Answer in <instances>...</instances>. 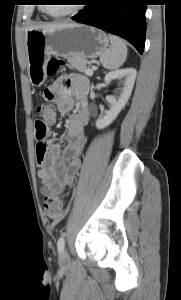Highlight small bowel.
I'll return each instance as SVG.
<instances>
[{"instance_id": "small-bowel-1", "label": "small bowel", "mask_w": 181, "mask_h": 300, "mask_svg": "<svg viewBox=\"0 0 181 300\" xmlns=\"http://www.w3.org/2000/svg\"><path fill=\"white\" fill-rule=\"evenodd\" d=\"M89 81L78 74L63 75L57 78L46 93L56 99L58 112L68 114L75 98L77 109L69 117L64 146L54 140H46L36 146V160L39 166L38 177L42 180L45 196L61 192L71 185L79 173L81 155L86 145L85 128L89 122L87 94ZM49 132V128H48Z\"/></svg>"}]
</instances>
